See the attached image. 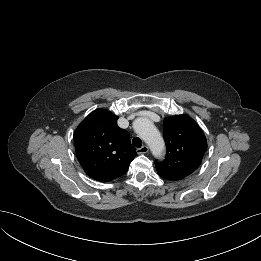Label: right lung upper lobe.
Segmentation results:
<instances>
[{"label":"right lung upper lobe","instance_id":"right-lung-upper-lobe-1","mask_svg":"<svg viewBox=\"0 0 261 261\" xmlns=\"http://www.w3.org/2000/svg\"><path fill=\"white\" fill-rule=\"evenodd\" d=\"M118 117L105 109L90 113L76 128L77 158L88 176L107 182L125 174L136 149L130 135L117 125Z\"/></svg>","mask_w":261,"mask_h":261}]
</instances>
